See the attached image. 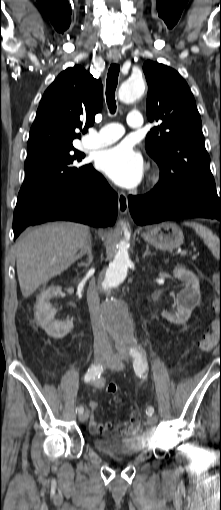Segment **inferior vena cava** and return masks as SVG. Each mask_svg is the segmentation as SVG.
Returning <instances> with one entry per match:
<instances>
[{
    "label": "inferior vena cava",
    "mask_w": 221,
    "mask_h": 510,
    "mask_svg": "<svg viewBox=\"0 0 221 510\" xmlns=\"http://www.w3.org/2000/svg\"><path fill=\"white\" fill-rule=\"evenodd\" d=\"M87 251L90 252V238H88V241H86L82 246L81 254L86 253ZM87 300L94 334V349L96 352H109L111 351V345L107 334L106 325L102 317L100 299L94 280H91L89 283L87 290Z\"/></svg>",
    "instance_id": "obj_1"
}]
</instances>
